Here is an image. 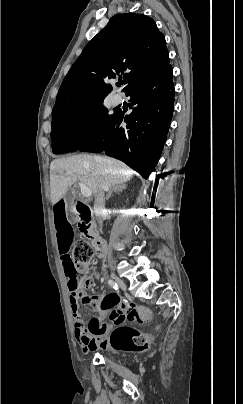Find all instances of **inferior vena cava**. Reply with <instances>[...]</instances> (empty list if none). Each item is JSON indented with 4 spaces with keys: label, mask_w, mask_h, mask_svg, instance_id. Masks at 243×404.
Instances as JSON below:
<instances>
[{
    "label": "inferior vena cava",
    "mask_w": 243,
    "mask_h": 404,
    "mask_svg": "<svg viewBox=\"0 0 243 404\" xmlns=\"http://www.w3.org/2000/svg\"><path fill=\"white\" fill-rule=\"evenodd\" d=\"M99 184L102 188V190H100V192H98L97 196H96V202H95V206H94V212H95V216L98 220V224L100 226V230H101V226H102V216L105 212V200H104V192L103 190H106L107 186H105V184H103L102 182V178H100L99 180Z\"/></svg>",
    "instance_id": "1"
}]
</instances>
